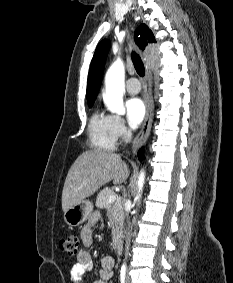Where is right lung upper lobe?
Wrapping results in <instances>:
<instances>
[{"mask_svg": "<svg viewBox=\"0 0 233 283\" xmlns=\"http://www.w3.org/2000/svg\"><path fill=\"white\" fill-rule=\"evenodd\" d=\"M135 40L141 49L148 44L156 43L152 31L145 25H140L135 32ZM109 40H103L97 46L89 70L87 83V101L88 105L94 104L96 96L101 86L103 69L109 51Z\"/></svg>", "mask_w": 233, "mask_h": 283, "instance_id": "obj_1", "label": "right lung upper lobe"}]
</instances>
